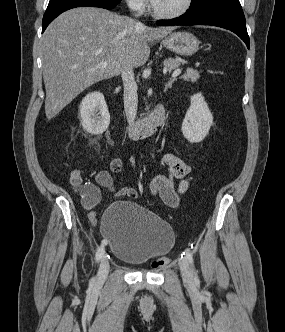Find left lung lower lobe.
<instances>
[{
	"instance_id": "left-lung-lower-lobe-1",
	"label": "left lung lower lobe",
	"mask_w": 285,
	"mask_h": 332,
	"mask_svg": "<svg viewBox=\"0 0 285 332\" xmlns=\"http://www.w3.org/2000/svg\"><path fill=\"white\" fill-rule=\"evenodd\" d=\"M159 26L169 25H212L231 30L237 34L249 48L250 41L242 7L238 2L214 4L186 14L174 20L158 21Z\"/></svg>"
}]
</instances>
